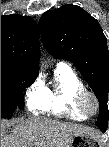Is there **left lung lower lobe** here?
Instances as JSON below:
<instances>
[{
	"label": "left lung lower lobe",
	"instance_id": "1",
	"mask_svg": "<svg viewBox=\"0 0 109 147\" xmlns=\"http://www.w3.org/2000/svg\"><path fill=\"white\" fill-rule=\"evenodd\" d=\"M99 128L102 130L103 133L107 130V127H99Z\"/></svg>",
	"mask_w": 109,
	"mask_h": 147
}]
</instances>
